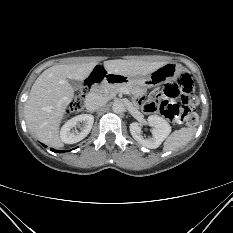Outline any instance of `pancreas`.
I'll use <instances>...</instances> for the list:
<instances>
[{
    "instance_id": "1",
    "label": "pancreas",
    "mask_w": 233,
    "mask_h": 233,
    "mask_svg": "<svg viewBox=\"0 0 233 233\" xmlns=\"http://www.w3.org/2000/svg\"><path fill=\"white\" fill-rule=\"evenodd\" d=\"M102 92L105 97L111 98L116 96L117 93L120 91H128L133 96H138L139 94L143 93V90L140 88H131L127 86L126 84H103L102 86Z\"/></svg>"
}]
</instances>
